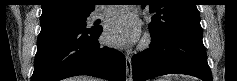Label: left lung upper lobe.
<instances>
[{"instance_id":"left-lung-upper-lobe-1","label":"left lung upper lobe","mask_w":237,"mask_h":81,"mask_svg":"<svg viewBox=\"0 0 237 81\" xmlns=\"http://www.w3.org/2000/svg\"><path fill=\"white\" fill-rule=\"evenodd\" d=\"M195 0H152L149 5L152 22L149 30L152 39L182 29H202Z\"/></svg>"}]
</instances>
